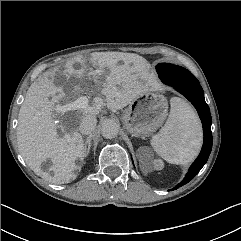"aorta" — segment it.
<instances>
[{
    "label": "aorta",
    "instance_id": "762f6f07",
    "mask_svg": "<svg viewBox=\"0 0 241 241\" xmlns=\"http://www.w3.org/2000/svg\"><path fill=\"white\" fill-rule=\"evenodd\" d=\"M119 131V124L112 120L107 119L101 124V134L107 139H112L117 136Z\"/></svg>",
    "mask_w": 241,
    "mask_h": 241
}]
</instances>
